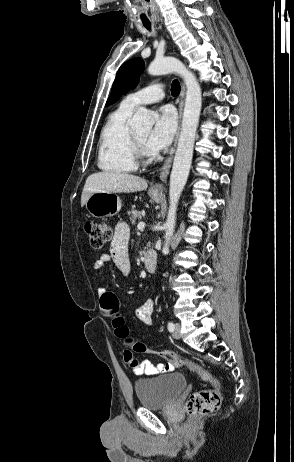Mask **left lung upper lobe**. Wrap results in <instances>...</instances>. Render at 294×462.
I'll use <instances>...</instances> for the list:
<instances>
[{"mask_svg":"<svg viewBox=\"0 0 294 462\" xmlns=\"http://www.w3.org/2000/svg\"><path fill=\"white\" fill-rule=\"evenodd\" d=\"M144 67L145 63L142 59L134 58L125 62L119 68L106 106L113 104L122 95L137 86L139 77L144 71Z\"/></svg>","mask_w":294,"mask_h":462,"instance_id":"obj_1","label":"left lung upper lobe"}]
</instances>
